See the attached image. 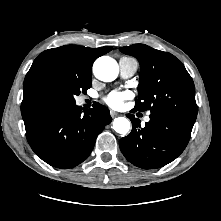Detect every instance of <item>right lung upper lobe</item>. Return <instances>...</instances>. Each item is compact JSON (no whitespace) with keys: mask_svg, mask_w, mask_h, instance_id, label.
<instances>
[{"mask_svg":"<svg viewBox=\"0 0 221 221\" xmlns=\"http://www.w3.org/2000/svg\"><path fill=\"white\" fill-rule=\"evenodd\" d=\"M112 50V47L89 48L65 45L42 52L33 62L23 85L21 113L47 103L41 95V84L49 77L77 73L92 75L93 62Z\"/></svg>","mask_w":221,"mask_h":221,"instance_id":"1","label":"right lung upper lobe"}]
</instances>
